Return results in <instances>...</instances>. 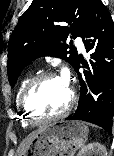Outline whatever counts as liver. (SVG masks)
I'll use <instances>...</instances> for the list:
<instances>
[{
  "label": "liver",
  "instance_id": "6515ba94",
  "mask_svg": "<svg viewBox=\"0 0 114 156\" xmlns=\"http://www.w3.org/2000/svg\"><path fill=\"white\" fill-rule=\"evenodd\" d=\"M43 127H40L38 130L32 132L31 134H29L20 144V146L17 149V156H22L25 154L29 144L31 143V141L34 139V137L40 132L42 131Z\"/></svg>",
  "mask_w": 114,
  "mask_h": 156
}]
</instances>
